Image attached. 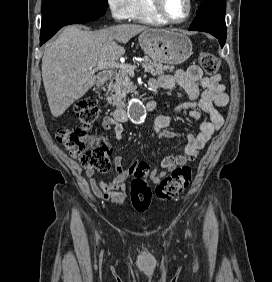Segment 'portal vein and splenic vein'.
Returning a JSON list of instances; mask_svg holds the SVG:
<instances>
[{
    "label": "portal vein and splenic vein",
    "instance_id": "obj_1",
    "mask_svg": "<svg viewBox=\"0 0 272 282\" xmlns=\"http://www.w3.org/2000/svg\"><path fill=\"white\" fill-rule=\"evenodd\" d=\"M122 69L126 70L129 74H134V70L137 68L136 65H128V64H120L115 61H106V60H100L98 61L96 70L99 69Z\"/></svg>",
    "mask_w": 272,
    "mask_h": 282
}]
</instances>
